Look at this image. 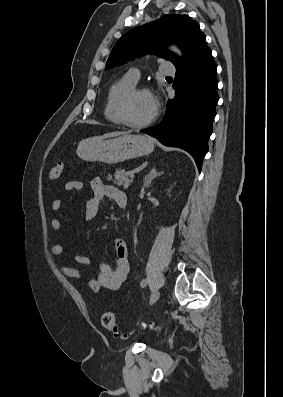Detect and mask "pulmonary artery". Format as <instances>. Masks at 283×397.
<instances>
[{
    "mask_svg": "<svg viewBox=\"0 0 283 397\" xmlns=\"http://www.w3.org/2000/svg\"><path fill=\"white\" fill-rule=\"evenodd\" d=\"M161 72L163 74H174L175 73V68L172 64L170 63H164L161 66ZM126 76L131 79L133 82L137 83L138 80L140 79V71L137 68H131Z\"/></svg>",
    "mask_w": 283,
    "mask_h": 397,
    "instance_id": "obj_1",
    "label": "pulmonary artery"
}]
</instances>
